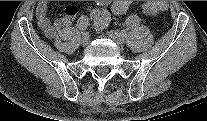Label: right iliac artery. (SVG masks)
<instances>
[{
    "label": "right iliac artery",
    "instance_id": "right-iliac-artery-1",
    "mask_svg": "<svg viewBox=\"0 0 207 121\" xmlns=\"http://www.w3.org/2000/svg\"><path fill=\"white\" fill-rule=\"evenodd\" d=\"M88 24L89 20L87 16H81L79 18L77 25L82 34H85Z\"/></svg>",
    "mask_w": 207,
    "mask_h": 121
}]
</instances>
